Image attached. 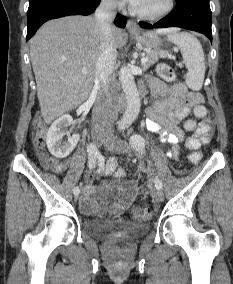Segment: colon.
<instances>
[{
	"label": "colon",
	"instance_id": "5ec220e1",
	"mask_svg": "<svg viewBox=\"0 0 233 284\" xmlns=\"http://www.w3.org/2000/svg\"><path fill=\"white\" fill-rule=\"evenodd\" d=\"M157 72L159 76L168 82H173L176 79V74L171 66L168 64H159L157 67ZM194 114L198 118H203L207 114V110L203 105H198L194 108ZM196 127V122L194 120H188L185 122V129L188 131H193ZM44 134H45V126L43 124H39L37 128V135L35 139V144L37 148L42 149L44 147ZM201 159L200 152L193 151L190 156L189 160L192 163H197ZM103 171L106 175H113L116 178H123L125 176V170L120 168L117 164V161L115 159H109L104 168ZM150 214V211L146 208H137L134 211V215L137 218H144L147 217Z\"/></svg>",
	"mask_w": 233,
	"mask_h": 284
}]
</instances>
